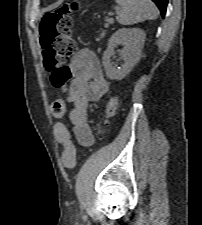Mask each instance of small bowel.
<instances>
[{
  "instance_id": "1",
  "label": "small bowel",
  "mask_w": 202,
  "mask_h": 225,
  "mask_svg": "<svg viewBox=\"0 0 202 225\" xmlns=\"http://www.w3.org/2000/svg\"><path fill=\"white\" fill-rule=\"evenodd\" d=\"M70 69V80L60 90L72 104L69 118L74 137L82 146L89 147L94 143V135L88 122V105L103 97L109 86L103 76L99 58L88 48L80 49L74 55ZM54 131L58 142L65 146L64 135L71 138L68 129L56 124Z\"/></svg>"
}]
</instances>
